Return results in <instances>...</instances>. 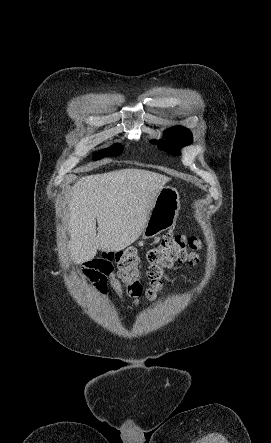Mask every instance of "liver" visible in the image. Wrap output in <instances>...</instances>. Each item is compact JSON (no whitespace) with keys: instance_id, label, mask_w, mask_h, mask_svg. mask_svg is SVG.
<instances>
[{"instance_id":"6515ba94","label":"liver","mask_w":271,"mask_h":443,"mask_svg":"<svg viewBox=\"0 0 271 443\" xmlns=\"http://www.w3.org/2000/svg\"><path fill=\"white\" fill-rule=\"evenodd\" d=\"M170 180L133 168L81 178L68 198L69 259L84 263L93 259L97 249L119 251L134 243L157 194Z\"/></svg>"}]
</instances>
